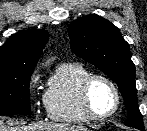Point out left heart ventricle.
<instances>
[{"mask_svg": "<svg viewBox=\"0 0 147 131\" xmlns=\"http://www.w3.org/2000/svg\"><path fill=\"white\" fill-rule=\"evenodd\" d=\"M90 103L97 115L109 113L115 106V95L103 80H96L90 90Z\"/></svg>", "mask_w": 147, "mask_h": 131, "instance_id": "b2bd125f", "label": "left heart ventricle"}]
</instances>
